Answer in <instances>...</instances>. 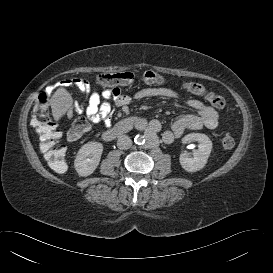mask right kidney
I'll return each mask as SVG.
<instances>
[{
	"label": "right kidney",
	"instance_id": "right-kidney-1",
	"mask_svg": "<svg viewBox=\"0 0 273 273\" xmlns=\"http://www.w3.org/2000/svg\"><path fill=\"white\" fill-rule=\"evenodd\" d=\"M103 145L99 142H88L78 151L74 161V167L79 176L91 175L99 165Z\"/></svg>",
	"mask_w": 273,
	"mask_h": 273
}]
</instances>
